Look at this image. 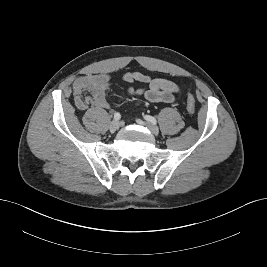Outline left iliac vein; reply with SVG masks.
Segmentation results:
<instances>
[{"label":"left iliac vein","mask_w":267,"mask_h":267,"mask_svg":"<svg viewBox=\"0 0 267 267\" xmlns=\"http://www.w3.org/2000/svg\"><path fill=\"white\" fill-rule=\"evenodd\" d=\"M136 122L139 124V125H142V126H146L150 129V131L154 134V135H158L159 134V128L154 125V124H151V123H146L140 119H137Z\"/></svg>","instance_id":"4c4485c4"}]
</instances>
